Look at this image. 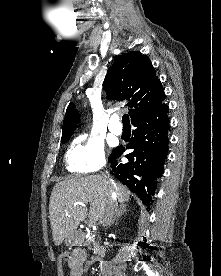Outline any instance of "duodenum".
I'll use <instances>...</instances> for the list:
<instances>
[{
	"mask_svg": "<svg viewBox=\"0 0 221 276\" xmlns=\"http://www.w3.org/2000/svg\"><path fill=\"white\" fill-rule=\"evenodd\" d=\"M104 251H105L104 247H102V246H97V247L94 249L95 256H96V257L102 256V255L104 254Z\"/></svg>",
	"mask_w": 221,
	"mask_h": 276,
	"instance_id": "410a0bca",
	"label": "duodenum"
}]
</instances>
